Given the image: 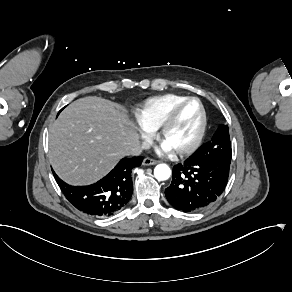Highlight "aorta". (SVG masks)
I'll return each instance as SVG.
<instances>
[{
    "mask_svg": "<svg viewBox=\"0 0 292 292\" xmlns=\"http://www.w3.org/2000/svg\"><path fill=\"white\" fill-rule=\"evenodd\" d=\"M171 175V170L166 164H159L154 169V177L158 181H165Z\"/></svg>",
    "mask_w": 292,
    "mask_h": 292,
    "instance_id": "obj_1",
    "label": "aorta"
}]
</instances>
